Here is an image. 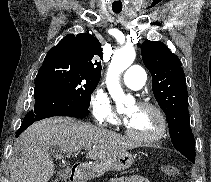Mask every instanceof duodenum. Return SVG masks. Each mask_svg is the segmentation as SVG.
<instances>
[{
    "label": "duodenum",
    "mask_w": 211,
    "mask_h": 182,
    "mask_svg": "<svg viewBox=\"0 0 211 182\" xmlns=\"http://www.w3.org/2000/svg\"><path fill=\"white\" fill-rule=\"evenodd\" d=\"M82 178V170L79 166H75L71 170L70 182H80Z\"/></svg>",
    "instance_id": "410a0bca"
}]
</instances>
